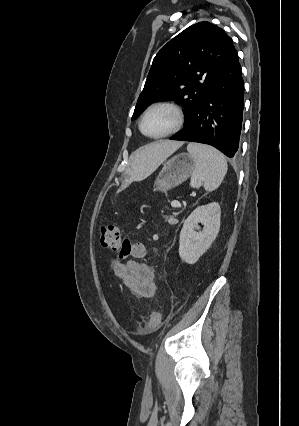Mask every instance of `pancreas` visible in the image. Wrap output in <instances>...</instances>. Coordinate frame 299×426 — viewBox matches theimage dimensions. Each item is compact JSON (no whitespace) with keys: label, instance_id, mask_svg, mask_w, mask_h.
Wrapping results in <instances>:
<instances>
[{"label":"pancreas","instance_id":"1","mask_svg":"<svg viewBox=\"0 0 299 426\" xmlns=\"http://www.w3.org/2000/svg\"><path fill=\"white\" fill-rule=\"evenodd\" d=\"M168 223H169V224H175V223H176V220H175L174 218L170 217V218L168 219Z\"/></svg>","mask_w":299,"mask_h":426}]
</instances>
